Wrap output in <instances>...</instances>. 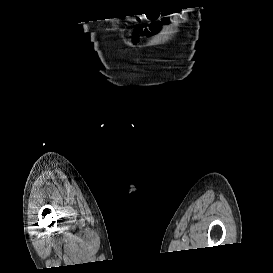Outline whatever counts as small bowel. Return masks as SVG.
Here are the masks:
<instances>
[{
  "label": "small bowel",
  "mask_w": 273,
  "mask_h": 273,
  "mask_svg": "<svg viewBox=\"0 0 273 273\" xmlns=\"http://www.w3.org/2000/svg\"><path fill=\"white\" fill-rule=\"evenodd\" d=\"M160 23H154V24H152L150 27H149V33H151V34H153V33H155L156 31H158L159 30V28H160Z\"/></svg>",
  "instance_id": "c3829d8e"
}]
</instances>
